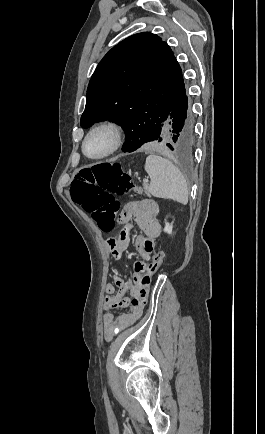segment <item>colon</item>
Returning a JSON list of instances; mask_svg holds the SVG:
<instances>
[{
	"label": "colon",
	"instance_id": "colon-1",
	"mask_svg": "<svg viewBox=\"0 0 265 434\" xmlns=\"http://www.w3.org/2000/svg\"><path fill=\"white\" fill-rule=\"evenodd\" d=\"M85 164L74 173L68 194L69 202H79L85 211L92 214L98 228L102 232L111 233L115 229V219L120 212L121 205L115 195L124 196L135 190L136 184L132 176L123 171L120 165L111 164ZM166 254L159 250L154 259L142 270L137 281L141 286H148L151 279L150 269H159L165 260Z\"/></svg>",
	"mask_w": 265,
	"mask_h": 434
}]
</instances>
